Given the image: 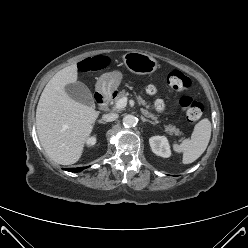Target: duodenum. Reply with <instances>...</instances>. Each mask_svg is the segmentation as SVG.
I'll use <instances>...</instances> for the list:
<instances>
[{
	"label": "duodenum",
	"mask_w": 248,
	"mask_h": 248,
	"mask_svg": "<svg viewBox=\"0 0 248 248\" xmlns=\"http://www.w3.org/2000/svg\"><path fill=\"white\" fill-rule=\"evenodd\" d=\"M111 98V95L109 93H101L97 92L95 93V100L100 104H106Z\"/></svg>",
	"instance_id": "obj_1"
}]
</instances>
